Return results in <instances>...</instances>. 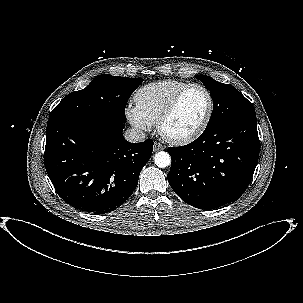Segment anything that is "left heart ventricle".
<instances>
[{
	"instance_id": "obj_1",
	"label": "left heart ventricle",
	"mask_w": 303,
	"mask_h": 303,
	"mask_svg": "<svg viewBox=\"0 0 303 303\" xmlns=\"http://www.w3.org/2000/svg\"><path fill=\"white\" fill-rule=\"evenodd\" d=\"M208 107L205 93L199 88L190 89L182 98L175 113L166 122L164 130L171 136L192 132L201 123Z\"/></svg>"
}]
</instances>
